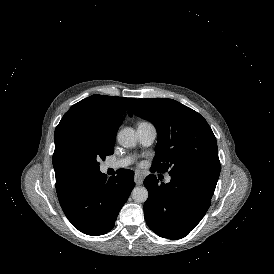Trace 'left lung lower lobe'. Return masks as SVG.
Masks as SVG:
<instances>
[{
    "instance_id": "0a47b994",
    "label": "left lung lower lobe",
    "mask_w": 274,
    "mask_h": 274,
    "mask_svg": "<svg viewBox=\"0 0 274 274\" xmlns=\"http://www.w3.org/2000/svg\"><path fill=\"white\" fill-rule=\"evenodd\" d=\"M170 176L167 184H159L153 174L144 180L149 192L144 216L157 235L176 240L185 237L201 221L211 204L218 179L192 174Z\"/></svg>"
}]
</instances>
